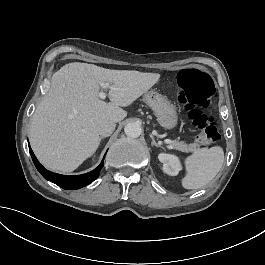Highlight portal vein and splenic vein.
Here are the masks:
<instances>
[{
    "mask_svg": "<svg viewBox=\"0 0 265 265\" xmlns=\"http://www.w3.org/2000/svg\"><path fill=\"white\" fill-rule=\"evenodd\" d=\"M110 86H111L110 83H107V82H105V83H101L102 91L99 93L100 98H102V99H105V98H106V96H107V91H108V88H109ZM165 142H166L167 144H176V143H178L177 140H171V139H167Z\"/></svg>",
    "mask_w": 265,
    "mask_h": 265,
    "instance_id": "1",
    "label": "portal vein and splenic vein"
}]
</instances>
